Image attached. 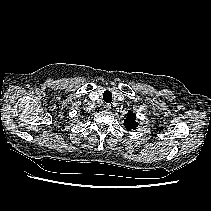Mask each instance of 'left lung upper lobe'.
Masks as SVG:
<instances>
[{
  "label": "left lung upper lobe",
  "instance_id": "obj_1",
  "mask_svg": "<svg viewBox=\"0 0 211 211\" xmlns=\"http://www.w3.org/2000/svg\"><path fill=\"white\" fill-rule=\"evenodd\" d=\"M126 119L124 121V125L127 130H134L138 126V123L136 122V115L133 112H129L127 115H125Z\"/></svg>",
  "mask_w": 211,
  "mask_h": 211
}]
</instances>
